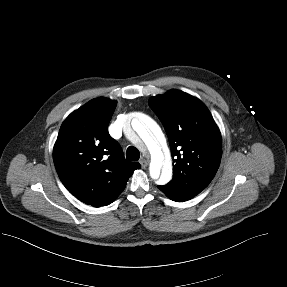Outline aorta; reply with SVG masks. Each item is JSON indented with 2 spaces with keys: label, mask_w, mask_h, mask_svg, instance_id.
Segmentation results:
<instances>
[{
  "label": "aorta",
  "mask_w": 287,
  "mask_h": 287,
  "mask_svg": "<svg viewBox=\"0 0 287 287\" xmlns=\"http://www.w3.org/2000/svg\"><path fill=\"white\" fill-rule=\"evenodd\" d=\"M143 122L153 135V139L142 124L137 120H132V127L142 137L151 156L150 176L159 180V183L166 184L172 179V163L170 153L166 147V140L158 124L150 117L143 115Z\"/></svg>",
  "instance_id": "762f6f07"
}]
</instances>
